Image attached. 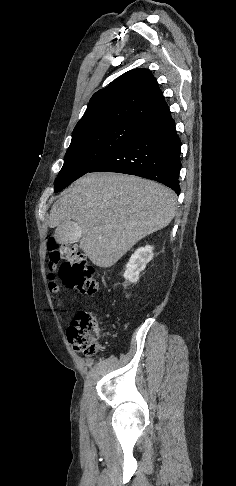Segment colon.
<instances>
[{"label": "colon", "mask_w": 236, "mask_h": 486, "mask_svg": "<svg viewBox=\"0 0 236 486\" xmlns=\"http://www.w3.org/2000/svg\"><path fill=\"white\" fill-rule=\"evenodd\" d=\"M49 253V287L58 290L54 280V271L59 267V277L63 284L76 290L85 297L93 296L97 291L95 271L87 262L85 255L74 245H57L54 241L48 244ZM102 330L96 317L88 311H79L67 330L72 347L84 354L93 355L100 348Z\"/></svg>", "instance_id": "1"}]
</instances>
